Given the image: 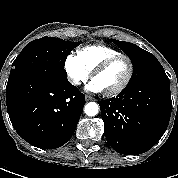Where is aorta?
<instances>
[{
  "label": "aorta",
  "mask_w": 178,
  "mask_h": 178,
  "mask_svg": "<svg viewBox=\"0 0 178 178\" xmlns=\"http://www.w3.org/2000/svg\"><path fill=\"white\" fill-rule=\"evenodd\" d=\"M98 111H99V106L95 102H89L84 107V112L86 113V115L90 117L97 115Z\"/></svg>",
  "instance_id": "762f6f07"
}]
</instances>
